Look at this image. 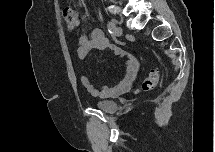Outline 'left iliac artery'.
<instances>
[{
	"instance_id": "1",
	"label": "left iliac artery",
	"mask_w": 215,
	"mask_h": 152,
	"mask_svg": "<svg viewBox=\"0 0 215 152\" xmlns=\"http://www.w3.org/2000/svg\"><path fill=\"white\" fill-rule=\"evenodd\" d=\"M115 23L114 22H108L107 24V30L110 34L114 33Z\"/></svg>"
}]
</instances>
